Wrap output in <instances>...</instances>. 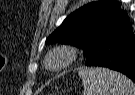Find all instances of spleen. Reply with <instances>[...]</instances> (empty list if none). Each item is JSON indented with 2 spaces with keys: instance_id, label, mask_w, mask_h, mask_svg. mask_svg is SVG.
<instances>
[{
  "instance_id": "spleen-1",
  "label": "spleen",
  "mask_w": 135,
  "mask_h": 95,
  "mask_svg": "<svg viewBox=\"0 0 135 95\" xmlns=\"http://www.w3.org/2000/svg\"><path fill=\"white\" fill-rule=\"evenodd\" d=\"M83 95H135V84L126 76L106 68L79 69Z\"/></svg>"
}]
</instances>
